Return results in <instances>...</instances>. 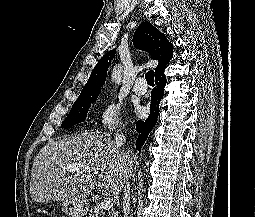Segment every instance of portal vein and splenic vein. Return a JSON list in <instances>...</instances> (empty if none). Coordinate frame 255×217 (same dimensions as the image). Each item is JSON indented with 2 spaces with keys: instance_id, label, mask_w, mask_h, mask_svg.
Instances as JSON below:
<instances>
[{
  "instance_id": "portal-vein-and-splenic-vein-1",
  "label": "portal vein and splenic vein",
  "mask_w": 255,
  "mask_h": 217,
  "mask_svg": "<svg viewBox=\"0 0 255 217\" xmlns=\"http://www.w3.org/2000/svg\"><path fill=\"white\" fill-rule=\"evenodd\" d=\"M67 171L68 172H76V171H79V170H83V171H86L83 166H81L80 164H72V165H69L67 168ZM113 207V199H111L110 197H107L103 200V202L101 203V208L103 210H109Z\"/></svg>"
}]
</instances>
